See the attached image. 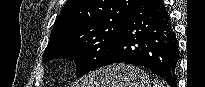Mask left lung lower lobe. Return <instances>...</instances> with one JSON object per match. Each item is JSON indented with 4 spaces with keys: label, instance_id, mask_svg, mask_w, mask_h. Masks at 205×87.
Segmentation results:
<instances>
[{
    "label": "left lung lower lobe",
    "instance_id": "1",
    "mask_svg": "<svg viewBox=\"0 0 205 87\" xmlns=\"http://www.w3.org/2000/svg\"><path fill=\"white\" fill-rule=\"evenodd\" d=\"M178 44L171 20L161 0H137L116 41L113 54L103 64L144 66L175 87Z\"/></svg>",
    "mask_w": 205,
    "mask_h": 87
}]
</instances>
